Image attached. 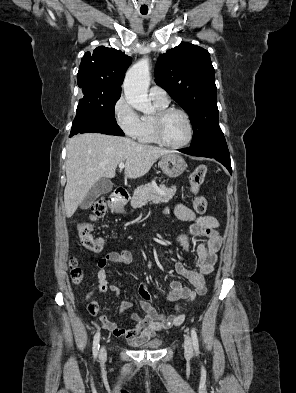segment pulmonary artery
<instances>
[{"label": "pulmonary artery", "instance_id": "1", "mask_svg": "<svg viewBox=\"0 0 296 393\" xmlns=\"http://www.w3.org/2000/svg\"><path fill=\"white\" fill-rule=\"evenodd\" d=\"M149 95L154 102H158L160 104L169 103V97L167 92L160 86L153 85L149 90Z\"/></svg>", "mask_w": 296, "mask_h": 393}]
</instances>
